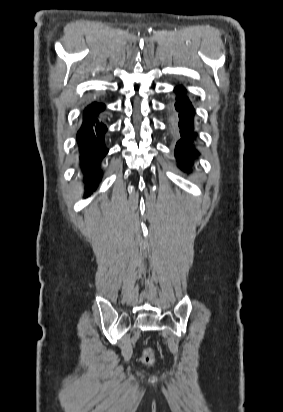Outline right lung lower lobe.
Wrapping results in <instances>:
<instances>
[{"label": "right lung lower lobe", "mask_w": 283, "mask_h": 412, "mask_svg": "<svg viewBox=\"0 0 283 412\" xmlns=\"http://www.w3.org/2000/svg\"><path fill=\"white\" fill-rule=\"evenodd\" d=\"M104 109V104L92 103L89 105L84 111L83 123L77 133L81 167L90 182L86 186L87 196L98 185L101 178L99 164L108 152L104 145V135L107 132V127L100 118V112Z\"/></svg>", "instance_id": "right-lung-lower-lobe-1"}]
</instances>
